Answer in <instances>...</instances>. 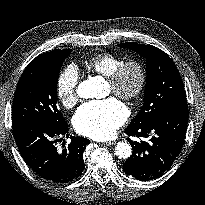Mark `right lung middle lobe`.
Returning <instances> with one entry per match:
<instances>
[{
    "label": "right lung middle lobe",
    "instance_id": "obj_1",
    "mask_svg": "<svg viewBox=\"0 0 205 205\" xmlns=\"http://www.w3.org/2000/svg\"><path fill=\"white\" fill-rule=\"evenodd\" d=\"M71 52L56 49L30 62L15 91L12 122L36 120L53 126L65 123L57 108V83L60 68Z\"/></svg>",
    "mask_w": 205,
    "mask_h": 205
}]
</instances>
